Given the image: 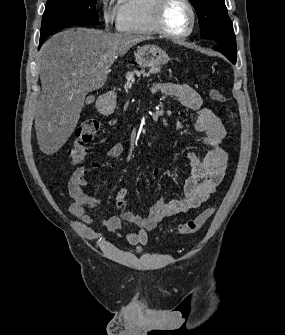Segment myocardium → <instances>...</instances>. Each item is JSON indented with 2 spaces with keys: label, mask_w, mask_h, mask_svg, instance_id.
I'll list each match as a JSON object with an SVG mask.
<instances>
[{
  "label": "myocardium",
  "mask_w": 285,
  "mask_h": 335,
  "mask_svg": "<svg viewBox=\"0 0 285 335\" xmlns=\"http://www.w3.org/2000/svg\"><path fill=\"white\" fill-rule=\"evenodd\" d=\"M175 2L183 4L189 14H190V23L186 29L181 30H172L166 21V15L168 8ZM156 22L161 34L169 38H182L187 36L193 29L195 23V14L192 8V5L189 1H158Z\"/></svg>",
  "instance_id": "f54148a6"
}]
</instances>
